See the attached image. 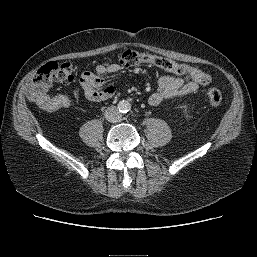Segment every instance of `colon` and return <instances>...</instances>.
Listing matches in <instances>:
<instances>
[{
	"mask_svg": "<svg viewBox=\"0 0 257 257\" xmlns=\"http://www.w3.org/2000/svg\"><path fill=\"white\" fill-rule=\"evenodd\" d=\"M124 67H132L140 63H151L165 71L180 76H189L202 85L211 82V76L201 69L187 64L177 63L169 58L127 50L119 58ZM74 80V67L69 62H49L39 68L26 90L27 97L39 107L55 111L69 105V98L65 95L50 96L49 89L53 83L69 84ZM205 99L211 106H219L222 102L221 92L210 87L205 92Z\"/></svg>",
	"mask_w": 257,
	"mask_h": 257,
	"instance_id": "1",
	"label": "colon"
}]
</instances>
